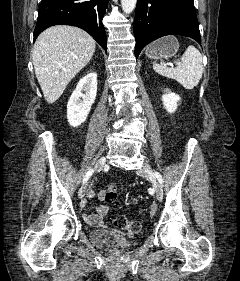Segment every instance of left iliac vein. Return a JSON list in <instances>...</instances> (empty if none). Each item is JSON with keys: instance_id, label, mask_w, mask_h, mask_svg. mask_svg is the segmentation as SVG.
<instances>
[{"instance_id": "obj_1", "label": "left iliac vein", "mask_w": 240, "mask_h": 281, "mask_svg": "<svg viewBox=\"0 0 240 281\" xmlns=\"http://www.w3.org/2000/svg\"><path fill=\"white\" fill-rule=\"evenodd\" d=\"M138 174L144 177H147L149 180L152 181L154 188L156 190V196L158 201H162L163 199V189L160 183L157 180V177L155 176V173L153 172V169L149 164H144L143 167L138 171Z\"/></svg>"}]
</instances>
